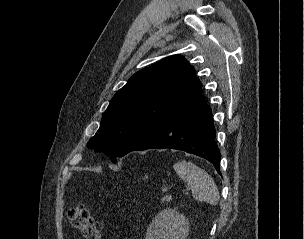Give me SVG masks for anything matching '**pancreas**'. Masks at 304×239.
<instances>
[{"mask_svg": "<svg viewBox=\"0 0 304 239\" xmlns=\"http://www.w3.org/2000/svg\"><path fill=\"white\" fill-rule=\"evenodd\" d=\"M164 201H168V198H167V197H164V198L162 199V202H164Z\"/></svg>", "mask_w": 304, "mask_h": 239, "instance_id": "obj_1", "label": "pancreas"}]
</instances>
